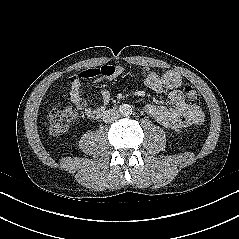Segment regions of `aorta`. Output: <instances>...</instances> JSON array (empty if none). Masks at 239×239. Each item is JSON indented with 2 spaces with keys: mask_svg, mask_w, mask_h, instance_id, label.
I'll return each instance as SVG.
<instances>
[{
  "mask_svg": "<svg viewBox=\"0 0 239 239\" xmlns=\"http://www.w3.org/2000/svg\"><path fill=\"white\" fill-rule=\"evenodd\" d=\"M119 112L122 116H130L132 114V108L128 104H123L120 106Z\"/></svg>",
  "mask_w": 239,
  "mask_h": 239,
  "instance_id": "aorta-1",
  "label": "aorta"
}]
</instances>
